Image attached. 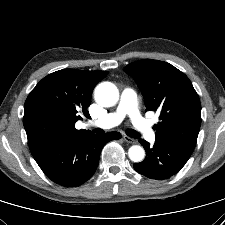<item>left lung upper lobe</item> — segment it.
<instances>
[{
	"label": "left lung upper lobe",
	"mask_w": 225,
	"mask_h": 225,
	"mask_svg": "<svg viewBox=\"0 0 225 225\" xmlns=\"http://www.w3.org/2000/svg\"><path fill=\"white\" fill-rule=\"evenodd\" d=\"M137 82L147 111H158L156 140L192 153L201 124V104L188 77L169 63L143 59L125 67Z\"/></svg>",
	"instance_id": "obj_1"
}]
</instances>
